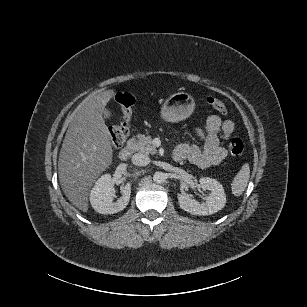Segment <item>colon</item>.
<instances>
[{
	"label": "colon",
	"instance_id": "5ec220e1",
	"mask_svg": "<svg viewBox=\"0 0 307 307\" xmlns=\"http://www.w3.org/2000/svg\"><path fill=\"white\" fill-rule=\"evenodd\" d=\"M115 99L122 107L123 120L120 124L114 125L110 128L109 135L112 145L120 147L129 135V121L133 112L135 98L129 92L121 91L115 94ZM206 102L219 113L223 115L228 113L226 105L220 99L209 96L206 98ZM229 150L234 157L241 156L244 152L243 141L239 138L232 139L229 144Z\"/></svg>",
	"mask_w": 307,
	"mask_h": 307
}]
</instances>
